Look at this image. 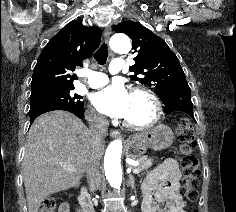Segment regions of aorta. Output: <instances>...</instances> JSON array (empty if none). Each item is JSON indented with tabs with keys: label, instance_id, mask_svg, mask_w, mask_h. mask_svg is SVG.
Wrapping results in <instances>:
<instances>
[{
	"label": "aorta",
	"instance_id": "762f6f07",
	"mask_svg": "<svg viewBox=\"0 0 236 212\" xmlns=\"http://www.w3.org/2000/svg\"><path fill=\"white\" fill-rule=\"evenodd\" d=\"M110 46L114 52L124 54L130 51L131 42L127 35L118 33L112 36ZM122 147L123 145L120 139L112 141L109 144L104 157L106 178L110 186L116 190L120 189L122 183Z\"/></svg>",
	"mask_w": 236,
	"mask_h": 212
}]
</instances>
